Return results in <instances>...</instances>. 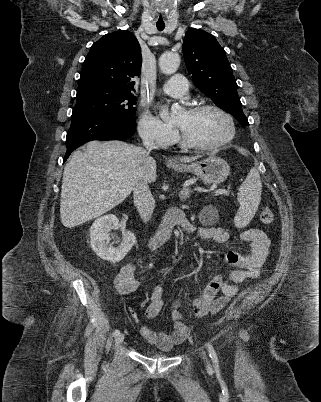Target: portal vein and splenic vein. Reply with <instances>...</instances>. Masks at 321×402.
<instances>
[{
  "instance_id": "18ae733b",
  "label": "portal vein and splenic vein",
  "mask_w": 321,
  "mask_h": 402,
  "mask_svg": "<svg viewBox=\"0 0 321 402\" xmlns=\"http://www.w3.org/2000/svg\"><path fill=\"white\" fill-rule=\"evenodd\" d=\"M229 192L225 189H218L215 191V195H228Z\"/></svg>"
}]
</instances>
